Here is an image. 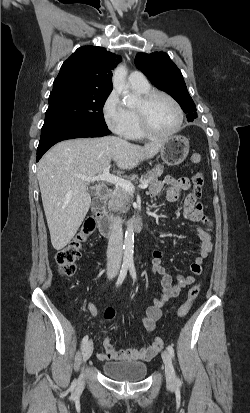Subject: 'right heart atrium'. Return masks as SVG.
<instances>
[{
	"instance_id": "obj_1",
	"label": "right heart atrium",
	"mask_w": 250,
	"mask_h": 413,
	"mask_svg": "<svg viewBox=\"0 0 250 413\" xmlns=\"http://www.w3.org/2000/svg\"><path fill=\"white\" fill-rule=\"evenodd\" d=\"M102 115L107 127L113 133L125 135L128 125L127 110L115 90L106 97L102 105Z\"/></svg>"
}]
</instances>
